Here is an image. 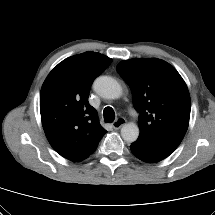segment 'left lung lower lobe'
I'll return each instance as SVG.
<instances>
[{
    "instance_id": "obj_1",
    "label": "left lung lower lobe",
    "mask_w": 215,
    "mask_h": 215,
    "mask_svg": "<svg viewBox=\"0 0 215 215\" xmlns=\"http://www.w3.org/2000/svg\"><path fill=\"white\" fill-rule=\"evenodd\" d=\"M130 149L138 159L147 163L159 162L171 154L139 140L132 143Z\"/></svg>"
}]
</instances>
